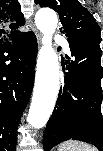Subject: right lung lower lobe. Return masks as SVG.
Here are the masks:
<instances>
[{
    "mask_svg": "<svg viewBox=\"0 0 103 151\" xmlns=\"http://www.w3.org/2000/svg\"><path fill=\"white\" fill-rule=\"evenodd\" d=\"M37 54L35 37L0 44V151H15L17 127L28 103Z\"/></svg>",
    "mask_w": 103,
    "mask_h": 151,
    "instance_id": "1",
    "label": "right lung lower lobe"
}]
</instances>
